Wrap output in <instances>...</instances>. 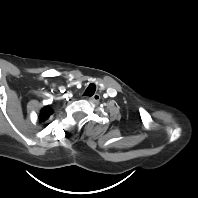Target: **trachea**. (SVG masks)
Instances as JSON below:
<instances>
[{
	"label": "trachea",
	"instance_id": "trachea-1",
	"mask_svg": "<svg viewBox=\"0 0 198 198\" xmlns=\"http://www.w3.org/2000/svg\"><path fill=\"white\" fill-rule=\"evenodd\" d=\"M95 91H96V85L91 83L84 92V96H92L94 95Z\"/></svg>",
	"mask_w": 198,
	"mask_h": 198
}]
</instances>
